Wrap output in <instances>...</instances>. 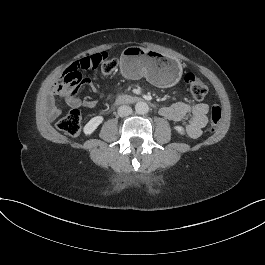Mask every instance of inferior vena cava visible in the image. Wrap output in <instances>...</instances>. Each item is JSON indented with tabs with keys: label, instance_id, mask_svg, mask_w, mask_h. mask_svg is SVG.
Listing matches in <instances>:
<instances>
[{
	"label": "inferior vena cava",
	"instance_id": "inferior-vena-cava-1",
	"mask_svg": "<svg viewBox=\"0 0 265 265\" xmlns=\"http://www.w3.org/2000/svg\"><path fill=\"white\" fill-rule=\"evenodd\" d=\"M132 114V108L127 105H122L118 108V115L121 117H125Z\"/></svg>",
	"mask_w": 265,
	"mask_h": 265
}]
</instances>
